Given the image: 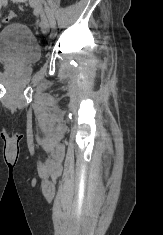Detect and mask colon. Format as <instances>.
Masks as SVG:
<instances>
[{
	"label": "colon",
	"mask_w": 163,
	"mask_h": 235,
	"mask_svg": "<svg viewBox=\"0 0 163 235\" xmlns=\"http://www.w3.org/2000/svg\"><path fill=\"white\" fill-rule=\"evenodd\" d=\"M15 17H16V14L14 12L10 11L4 16L3 21L9 22V21L13 20Z\"/></svg>",
	"instance_id": "colon-1"
}]
</instances>
